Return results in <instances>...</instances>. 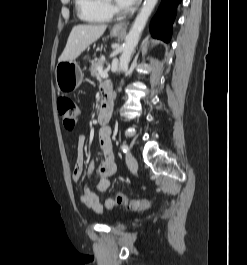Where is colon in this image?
<instances>
[{
	"label": "colon",
	"mask_w": 247,
	"mask_h": 265,
	"mask_svg": "<svg viewBox=\"0 0 247 265\" xmlns=\"http://www.w3.org/2000/svg\"><path fill=\"white\" fill-rule=\"evenodd\" d=\"M57 108L64 126L69 130L74 129L81 114L78 104L69 98L61 97L57 101ZM115 201L133 211H143L152 205L151 199H129L119 192L115 193Z\"/></svg>",
	"instance_id": "1"
}]
</instances>
